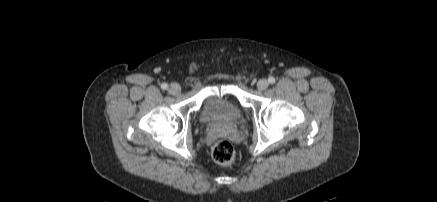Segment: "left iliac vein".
<instances>
[{"mask_svg": "<svg viewBox=\"0 0 437 202\" xmlns=\"http://www.w3.org/2000/svg\"><path fill=\"white\" fill-rule=\"evenodd\" d=\"M269 86V82L266 79H260L257 83V88L261 91L266 90Z\"/></svg>", "mask_w": 437, "mask_h": 202, "instance_id": "1", "label": "left iliac vein"}]
</instances>
